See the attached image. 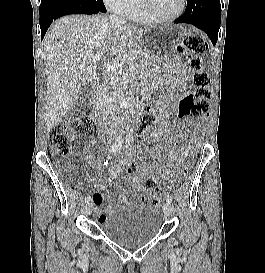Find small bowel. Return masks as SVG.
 I'll use <instances>...</instances> for the list:
<instances>
[{
  "mask_svg": "<svg viewBox=\"0 0 265 273\" xmlns=\"http://www.w3.org/2000/svg\"><path fill=\"white\" fill-rule=\"evenodd\" d=\"M175 62L178 67L176 78H175V84L180 89H187L190 87L189 76L186 72H184L180 68V59L176 58ZM176 99L177 97L175 95L166 96L162 99L156 111L154 110L149 111V112H157L161 116L159 123L152 130L153 135L163 136L167 134L169 120L171 118L170 109H173ZM198 142H199V139L195 138L194 143L197 144ZM164 151L170 156L171 159L175 158L176 152L172 147L170 146L165 147ZM83 154L90 161L92 166L94 167L100 166V161L96 157L90 154H87L85 151H83ZM151 154L153 156H157V153H151ZM147 170H148V167H145L144 171H147ZM121 172H122V167L120 164L111 165V167L109 168V173H108L109 179L117 178L121 174ZM143 176H144V173L143 174L134 173L132 177V191L138 197V199H140V203H144V200H146V197L143 194V189H142ZM109 179H104L103 182L108 183ZM101 202H102V196L100 194H94L92 196V205H94L96 210L100 207ZM127 202H128V199L125 196L119 197L118 203L120 205L124 206L127 204ZM109 209L110 211L112 210L111 207ZM104 217L105 216L99 215L98 219L101 221L104 219Z\"/></svg>",
  "mask_w": 265,
  "mask_h": 273,
  "instance_id": "c3829d8e",
  "label": "small bowel"
}]
</instances>
